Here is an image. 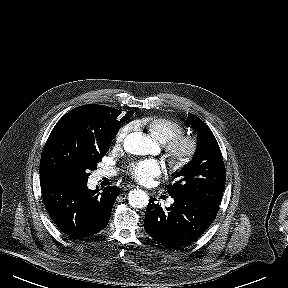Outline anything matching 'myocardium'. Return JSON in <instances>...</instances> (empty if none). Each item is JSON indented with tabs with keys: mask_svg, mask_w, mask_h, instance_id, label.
Wrapping results in <instances>:
<instances>
[{
	"mask_svg": "<svg viewBox=\"0 0 288 288\" xmlns=\"http://www.w3.org/2000/svg\"><path fill=\"white\" fill-rule=\"evenodd\" d=\"M161 144L170 165L174 168L189 164L198 151V140L190 133L182 132Z\"/></svg>",
	"mask_w": 288,
	"mask_h": 288,
	"instance_id": "1",
	"label": "myocardium"
}]
</instances>
